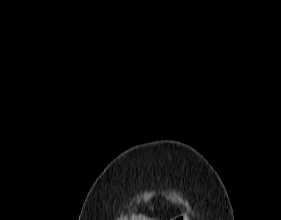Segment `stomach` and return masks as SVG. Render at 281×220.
<instances>
[{
	"label": "stomach",
	"mask_w": 281,
	"mask_h": 220,
	"mask_svg": "<svg viewBox=\"0 0 281 220\" xmlns=\"http://www.w3.org/2000/svg\"><path fill=\"white\" fill-rule=\"evenodd\" d=\"M178 220H188V217L186 215H182L178 217Z\"/></svg>",
	"instance_id": "stomach-1"
}]
</instances>
